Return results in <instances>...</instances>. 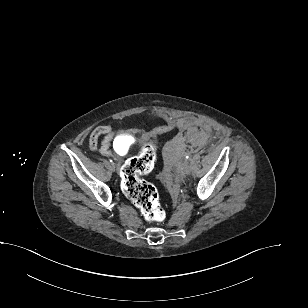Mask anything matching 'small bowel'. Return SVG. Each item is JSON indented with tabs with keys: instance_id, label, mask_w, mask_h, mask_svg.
Here are the masks:
<instances>
[{
	"instance_id": "obj_1",
	"label": "small bowel",
	"mask_w": 308,
	"mask_h": 308,
	"mask_svg": "<svg viewBox=\"0 0 308 308\" xmlns=\"http://www.w3.org/2000/svg\"><path fill=\"white\" fill-rule=\"evenodd\" d=\"M197 122L191 118H182L178 120L177 126L179 128H190ZM114 131L111 126L103 125L98 126L93 130L89 137V148L91 151H96L99 149L101 154L105 156L112 155V150L110 149V142L113 139Z\"/></svg>"
}]
</instances>
